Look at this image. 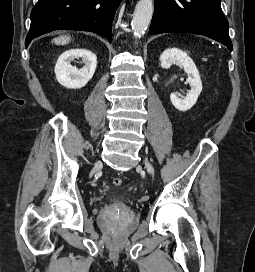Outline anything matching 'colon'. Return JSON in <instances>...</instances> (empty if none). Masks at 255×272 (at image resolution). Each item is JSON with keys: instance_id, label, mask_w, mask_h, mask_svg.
Returning a JSON list of instances; mask_svg holds the SVG:
<instances>
[{"instance_id": "5ec220e1", "label": "colon", "mask_w": 255, "mask_h": 272, "mask_svg": "<svg viewBox=\"0 0 255 272\" xmlns=\"http://www.w3.org/2000/svg\"><path fill=\"white\" fill-rule=\"evenodd\" d=\"M112 183L114 186H121L122 185V179L119 177H115L112 180Z\"/></svg>"}]
</instances>
